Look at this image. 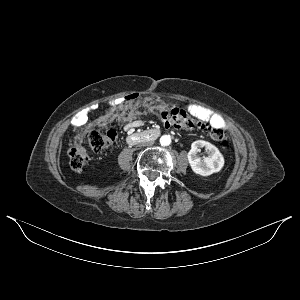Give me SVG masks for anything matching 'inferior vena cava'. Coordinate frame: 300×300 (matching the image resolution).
Instances as JSON below:
<instances>
[{
  "label": "inferior vena cava",
  "mask_w": 300,
  "mask_h": 300,
  "mask_svg": "<svg viewBox=\"0 0 300 300\" xmlns=\"http://www.w3.org/2000/svg\"><path fill=\"white\" fill-rule=\"evenodd\" d=\"M138 144H142L143 146H149V145H154L155 141L154 140L138 141Z\"/></svg>",
  "instance_id": "inferior-vena-cava-1"
}]
</instances>
